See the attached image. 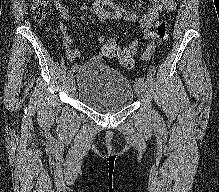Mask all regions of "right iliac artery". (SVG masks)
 I'll return each mask as SVG.
<instances>
[{
  "label": "right iliac artery",
  "instance_id": "obj_1",
  "mask_svg": "<svg viewBox=\"0 0 219 192\" xmlns=\"http://www.w3.org/2000/svg\"><path fill=\"white\" fill-rule=\"evenodd\" d=\"M68 75H69V76H70V75H72V70H70V72H69V74H68Z\"/></svg>",
  "mask_w": 219,
  "mask_h": 192
}]
</instances>
